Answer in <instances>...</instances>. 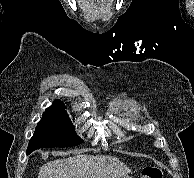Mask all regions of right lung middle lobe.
Here are the masks:
<instances>
[{"label":"right lung middle lobe","instance_id":"right-lung-middle-lobe-1","mask_svg":"<svg viewBox=\"0 0 194 178\" xmlns=\"http://www.w3.org/2000/svg\"><path fill=\"white\" fill-rule=\"evenodd\" d=\"M83 142L77 136L66 112L46 109L29 141L27 154L39 148L76 146Z\"/></svg>","mask_w":194,"mask_h":178}]
</instances>
